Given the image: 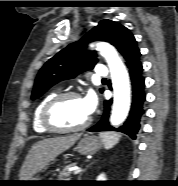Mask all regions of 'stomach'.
I'll return each mask as SVG.
<instances>
[{
  "mask_svg": "<svg viewBox=\"0 0 178 186\" xmlns=\"http://www.w3.org/2000/svg\"><path fill=\"white\" fill-rule=\"evenodd\" d=\"M102 145L103 142L100 137H96L93 135H84L77 143L75 149L82 155H90L97 152L102 147ZM27 181L30 182H26L27 183L26 185L40 186V185H44V183L39 181H45V180H43L42 177L37 175Z\"/></svg>",
  "mask_w": 178,
  "mask_h": 186,
  "instance_id": "1",
  "label": "stomach"
}]
</instances>
